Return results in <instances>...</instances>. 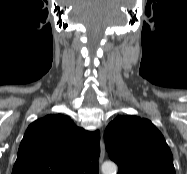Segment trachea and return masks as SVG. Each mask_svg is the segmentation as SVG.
I'll return each mask as SVG.
<instances>
[{
  "instance_id": "1",
  "label": "trachea",
  "mask_w": 187,
  "mask_h": 174,
  "mask_svg": "<svg viewBox=\"0 0 187 174\" xmlns=\"http://www.w3.org/2000/svg\"><path fill=\"white\" fill-rule=\"evenodd\" d=\"M99 164L98 162L90 163L86 169L85 174H98Z\"/></svg>"
}]
</instances>
